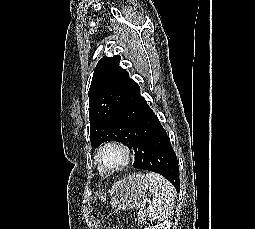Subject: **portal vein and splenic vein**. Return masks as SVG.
<instances>
[{
	"mask_svg": "<svg viewBox=\"0 0 255 229\" xmlns=\"http://www.w3.org/2000/svg\"><path fill=\"white\" fill-rule=\"evenodd\" d=\"M147 202H149V200H148V199H145L144 202H143V204H142V206L144 207V206L146 205Z\"/></svg>",
	"mask_w": 255,
	"mask_h": 229,
	"instance_id": "18ae733b",
	"label": "portal vein and splenic vein"
}]
</instances>
